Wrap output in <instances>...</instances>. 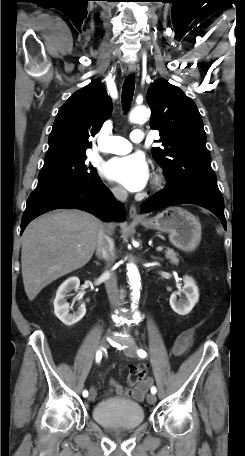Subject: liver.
<instances>
[{
	"label": "liver",
	"mask_w": 245,
	"mask_h": 456,
	"mask_svg": "<svg viewBox=\"0 0 245 456\" xmlns=\"http://www.w3.org/2000/svg\"><path fill=\"white\" fill-rule=\"evenodd\" d=\"M103 228L98 218L77 209L58 210L33 220L23 233L21 249L28 299L34 300L48 284L85 266Z\"/></svg>",
	"instance_id": "liver-1"
}]
</instances>
